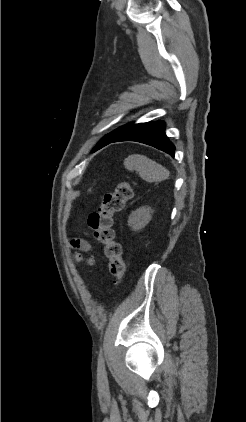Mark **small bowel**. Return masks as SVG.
Masks as SVG:
<instances>
[{
	"label": "small bowel",
	"mask_w": 246,
	"mask_h": 422,
	"mask_svg": "<svg viewBox=\"0 0 246 422\" xmlns=\"http://www.w3.org/2000/svg\"><path fill=\"white\" fill-rule=\"evenodd\" d=\"M74 246L81 248L83 250H89L91 247L90 244L85 240L74 241Z\"/></svg>",
	"instance_id": "1"
}]
</instances>
